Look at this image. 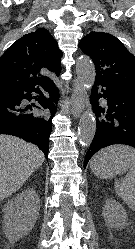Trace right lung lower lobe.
Listing matches in <instances>:
<instances>
[{
  "label": "right lung lower lobe",
  "mask_w": 135,
  "mask_h": 249,
  "mask_svg": "<svg viewBox=\"0 0 135 249\" xmlns=\"http://www.w3.org/2000/svg\"><path fill=\"white\" fill-rule=\"evenodd\" d=\"M49 93L45 97L37 87H23L16 90H0V134L18 136L24 140L38 145L48 155L49 136L52 129V118L56 107L54 102L59 97V91L53 81L43 85ZM32 92L40 94L36 99L38 104L51 112V117L46 120L34 114L32 107L39 106L32 104L25 105L23 100L33 99Z\"/></svg>",
  "instance_id": "98d812e1"
}]
</instances>
